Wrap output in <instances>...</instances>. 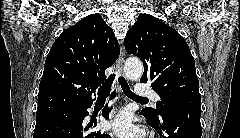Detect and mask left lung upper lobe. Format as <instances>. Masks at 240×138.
<instances>
[{
  "instance_id": "left-lung-upper-lobe-1",
  "label": "left lung upper lobe",
  "mask_w": 240,
  "mask_h": 138,
  "mask_svg": "<svg viewBox=\"0 0 240 138\" xmlns=\"http://www.w3.org/2000/svg\"><path fill=\"white\" fill-rule=\"evenodd\" d=\"M129 54L144 64L141 81L151 83L161 97L156 109H144L158 117L166 103L186 98L201 100L195 61L186 41L173 28L149 14L137 18L124 40Z\"/></svg>"
}]
</instances>
